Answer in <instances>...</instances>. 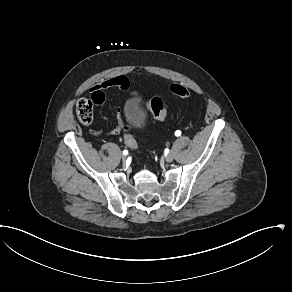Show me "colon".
<instances>
[{
  "instance_id": "colon-1",
  "label": "colon",
  "mask_w": 292,
  "mask_h": 292,
  "mask_svg": "<svg viewBox=\"0 0 292 292\" xmlns=\"http://www.w3.org/2000/svg\"><path fill=\"white\" fill-rule=\"evenodd\" d=\"M172 92L180 97L187 96L185 88L178 84L173 86ZM105 99V94L100 90L93 92L91 97H80L75 104V115L78 121L84 126H89L94 118L95 107L103 104ZM136 104L148 110L157 120L162 121L167 116V109L163 101L159 97H154L150 101L136 102ZM129 128L130 127L128 125L124 126L123 139L126 147L129 150L134 151L137 150L138 144L134 135L128 132Z\"/></svg>"
}]
</instances>
